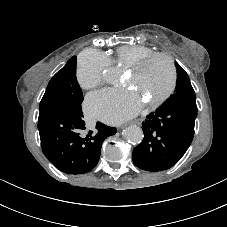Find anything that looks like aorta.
Returning <instances> with one entry per match:
<instances>
[{"mask_svg": "<svg viewBox=\"0 0 227 227\" xmlns=\"http://www.w3.org/2000/svg\"><path fill=\"white\" fill-rule=\"evenodd\" d=\"M116 74L113 72H106L105 79L109 83H113L116 80ZM123 135L127 141L132 144H139L143 140V131L140 127L136 125H130L124 129Z\"/></svg>", "mask_w": 227, "mask_h": 227, "instance_id": "1", "label": "aorta"}]
</instances>
